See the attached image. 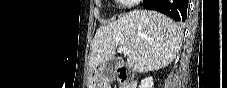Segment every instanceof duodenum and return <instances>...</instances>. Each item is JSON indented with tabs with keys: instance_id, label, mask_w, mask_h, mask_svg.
I'll return each instance as SVG.
<instances>
[{
	"instance_id": "1",
	"label": "duodenum",
	"mask_w": 227,
	"mask_h": 88,
	"mask_svg": "<svg viewBox=\"0 0 227 88\" xmlns=\"http://www.w3.org/2000/svg\"><path fill=\"white\" fill-rule=\"evenodd\" d=\"M116 69L119 74L122 88H136L137 87L134 76H133L131 70L126 65V63H124L123 61H118L116 63Z\"/></svg>"
}]
</instances>
